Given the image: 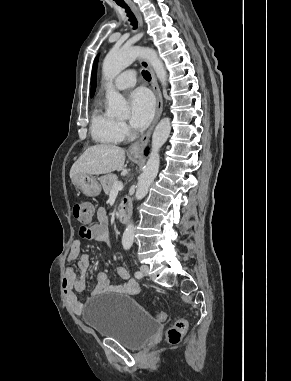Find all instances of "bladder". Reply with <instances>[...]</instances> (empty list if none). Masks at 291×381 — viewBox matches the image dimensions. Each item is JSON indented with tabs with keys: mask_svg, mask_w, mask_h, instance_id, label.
I'll return each instance as SVG.
<instances>
[{
	"mask_svg": "<svg viewBox=\"0 0 291 381\" xmlns=\"http://www.w3.org/2000/svg\"><path fill=\"white\" fill-rule=\"evenodd\" d=\"M83 319L100 337L114 339L128 349H141L154 336L158 323L132 296L95 298Z\"/></svg>",
	"mask_w": 291,
	"mask_h": 381,
	"instance_id": "1",
	"label": "bladder"
}]
</instances>
